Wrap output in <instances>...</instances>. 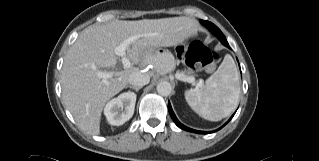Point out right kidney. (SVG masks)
<instances>
[{"mask_svg":"<svg viewBox=\"0 0 319 161\" xmlns=\"http://www.w3.org/2000/svg\"><path fill=\"white\" fill-rule=\"evenodd\" d=\"M135 103L136 94L133 92L122 93L110 100L104 108L109 124L119 126L128 121L133 116Z\"/></svg>","mask_w":319,"mask_h":161,"instance_id":"right-kidney-1","label":"right kidney"}]
</instances>
